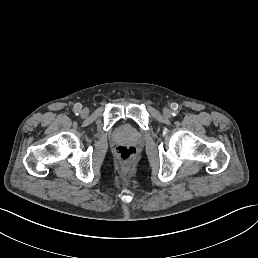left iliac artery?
<instances>
[{"instance_id":"left-iliac-artery-1","label":"left iliac artery","mask_w":258,"mask_h":258,"mask_svg":"<svg viewBox=\"0 0 258 258\" xmlns=\"http://www.w3.org/2000/svg\"><path fill=\"white\" fill-rule=\"evenodd\" d=\"M178 113H179V112H178L177 110H175V111L172 112V116H177Z\"/></svg>"}]
</instances>
